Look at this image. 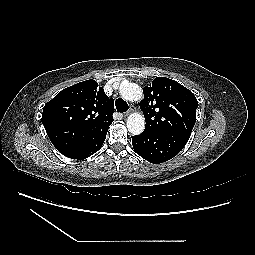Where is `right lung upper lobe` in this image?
Instances as JSON below:
<instances>
[{"label": "right lung upper lobe", "mask_w": 255, "mask_h": 255, "mask_svg": "<svg viewBox=\"0 0 255 255\" xmlns=\"http://www.w3.org/2000/svg\"><path fill=\"white\" fill-rule=\"evenodd\" d=\"M114 100L95 80H86L59 92L43 109L42 123L56 149L65 156L91 136L108 130Z\"/></svg>", "instance_id": "1"}]
</instances>
